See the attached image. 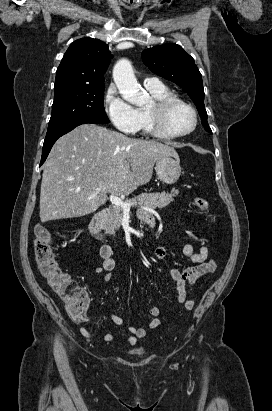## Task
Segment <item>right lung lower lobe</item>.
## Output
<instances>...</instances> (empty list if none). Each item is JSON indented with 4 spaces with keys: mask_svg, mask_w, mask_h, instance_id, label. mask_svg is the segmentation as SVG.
<instances>
[{
    "mask_svg": "<svg viewBox=\"0 0 272 411\" xmlns=\"http://www.w3.org/2000/svg\"><path fill=\"white\" fill-rule=\"evenodd\" d=\"M84 123H95V122H91V121H80L74 124H71L67 127H65L63 130L56 132L54 134L51 135H46V138L44 140V145H43V149H42V158H41V162H40V166L44 163V161L46 160L53 144L55 143V141L61 137L62 135L68 133L69 131L73 130L75 127H77L78 125L84 124Z\"/></svg>",
    "mask_w": 272,
    "mask_h": 411,
    "instance_id": "98d812e1",
    "label": "right lung lower lobe"
}]
</instances>
